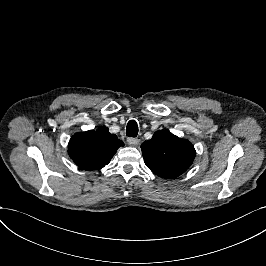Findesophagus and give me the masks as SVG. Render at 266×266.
Here are the masks:
<instances>
[{
  "label": "esophagus",
  "instance_id": "34e87169",
  "mask_svg": "<svg viewBox=\"0 0 266 266\" xmlns=\"http://www.w3.org/2000/svg\"><path fill=\"white\" fill-rule=\"evenodd\" d=\"M139 139L137 138H134V137H128L127 138V143L130 145V146H135V145H138L139 144Z\"/></svg>",
  "mask_w": 266,
  "mask_h": 266
}]
</instances>
